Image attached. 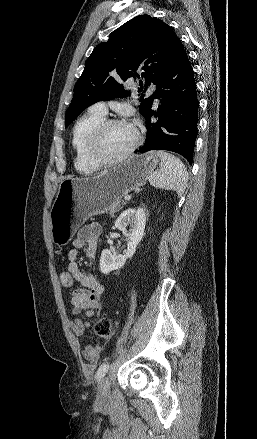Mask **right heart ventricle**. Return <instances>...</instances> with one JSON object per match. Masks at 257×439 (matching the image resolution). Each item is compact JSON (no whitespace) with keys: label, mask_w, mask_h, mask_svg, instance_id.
I'll list each match as a JSON object with an SVG mask.
<instances>
[{"label":"right heart ventricle","mask_w":257,"mask_h":439,"mask_svg":"<svg viewBox=\"0 0 257 439\" xmlns=\"http://www.w3.org/2000/svg\"><path fill=\"white\" fill-rule=\"evenodd\" d=\"M104 119L105 116L103 114L90 110L78 119L73 128L72 147L75 154L74 165L83 174H91L97 169V165L91 161L88 155L87 142L93 129Z\"/></svg>","instance_id":"1"}]
</instances>
